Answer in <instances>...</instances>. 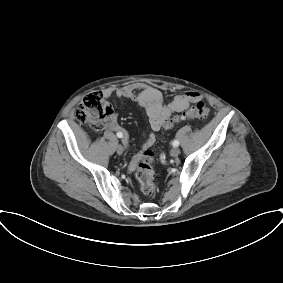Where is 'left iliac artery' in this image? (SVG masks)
Returning <instances> with one entry per match:
<instances>
[{
    "instance_id": "1",
    "label": "left iliac artery",
    "mask_w": 283,
    "mask_h": 283,
    "mask_svg": "<svg viewBox=\"0 0 283 283\" xmlns=\"http://www.w3.org/2000/svg\"><path fill=\"white\" fill-rule=\"evenodd\" d=\"M172 145H173L174 147L179 146V141H178V140H174V141L172 142Z\"/></svg>"
}]
</instances>
